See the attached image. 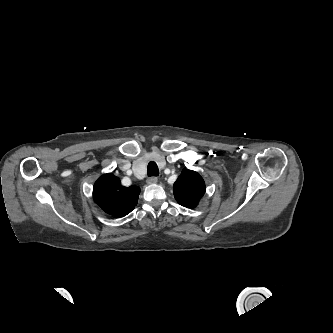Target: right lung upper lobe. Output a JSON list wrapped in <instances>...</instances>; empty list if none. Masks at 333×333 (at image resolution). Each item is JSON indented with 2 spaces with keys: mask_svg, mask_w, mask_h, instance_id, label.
Segmentation results:
<instances>
[{
  "mask_svg": "<svg viewBox=\"0 0 333 333\" xmlns=\"http://www.w3.org/2000/svg\"><path fill=\"white\" fill-rule=\"evenodd\" d=\"M140 188L124 187L112 173L102 175L94 184L93 199L107 214L116 218L129 214L137 205Z\"/></svg>",
  "mask_w": 333,
  "mask_h": 333,
  "instance_id": "cb5924a9",
  "label": "right lung upper lobe"
}]
</instances>
